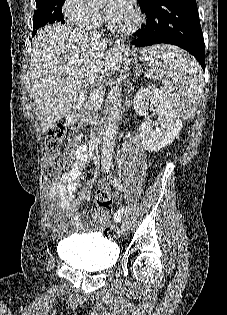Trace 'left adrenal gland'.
<instances>
[{
    "label": "left adrenal gland",
    "instance_id": "a2214340",
    "mask_svg": "<svg viewBox=\"0 0 227 315\" xmlns=\"http://www.w3.org/2000/svg\"><path fill=\"white\" fill-rule=\"evenodd\" d=\"M138 73H140V71H139ZM135 76L137 77V72H136V74L134 75V78H135ZM131 89H133V88H131ZM128 91H129V90H128Z\"/></svg>",
    "mask_w": 227,
    "mask_h": 315
}]
</instances>
